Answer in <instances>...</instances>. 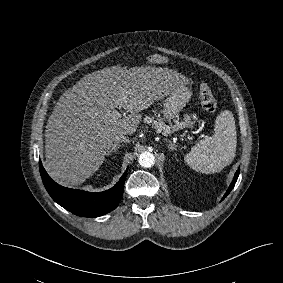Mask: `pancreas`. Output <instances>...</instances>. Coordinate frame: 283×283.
Returning <instances> with one entry per match:
<instances>
[{
    "label": "pancreas",
    "instance_id": "cf45deb5",
    "mask_svg": "<svg viewBox=\"0 0 283 283\" xmlns=\"http://www.w3.org/2000/svg\"><path fill=\"white\" fill-rule=\"evenodd\" d=\"M192 117L194 119L196 118L195 115H192ZM184 120V122H176V124L172 127L166 125L161 119H155L149 116L145 117L144 119L145 123L152 125L157 131H161L164 134H169L173 131L188 127L190 125L191 117L189 115H186Z\"/></svg>",
    "mask_w": 283,
    "mask_h": 283
}]
</instances>
